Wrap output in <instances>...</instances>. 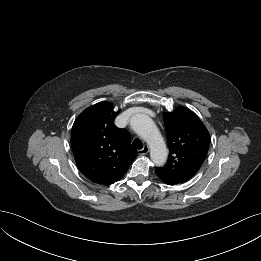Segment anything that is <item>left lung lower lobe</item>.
<instances>
[{
    "instance_id": "left-lung-lower-lobe-1",
    "label": "left lung lower lobe",
    "mask_w": 261,
    "mask_h": 261,
    "mask_svg": "<svg viewBox=\"0 0 261 261\" xmlns=\"http://www.w3.org/2000/svg\"><path fill=\"white\" fill-rule=\"evenodd\" d=\"M163 182H165L166 184H168V185H175L176 183H174V182H171V181H168V180H166V179H162V178H160Z\"/></svg>"
}]
</instances>
